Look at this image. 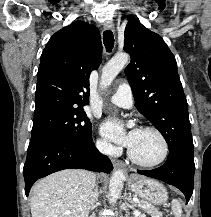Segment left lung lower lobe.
<instances>
[{
  "label": "left lung lower lobe",
  "instance_id": "left-lung-lower-lobe-1",
  "mask_svg": "<svg viewBox=\"0 0 211 217\" xmlns=\"http://www.w3.org/2000/svg\"><path fill=\"white\" fill-rule=\"evenodd\" d=\"M193 152L175 150L169 152L166 163L153 170H137L138 174L162 180L180 189L186 197V203L193 192L194 179Z\"/></svg>",
  "mask_w": 211,
  "mask_h": 217
}]
</instances>
